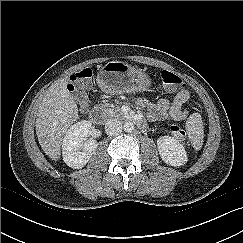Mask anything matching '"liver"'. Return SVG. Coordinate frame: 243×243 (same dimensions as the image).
I'll return each instance as SVG.
<instances>
[{
    "instance_id": "liver-1",
    "label": "liver",
    "mask_w": 243,
    "mask_h": 243,
    "mask_svg": "<svg viewBox=\"0 0 243 243\" xmlns=\"http://www.w3.org/2000/svg\"><path fill=\"white\" fill-rule=\"evenodd\" d=\"M68 78L51 85L36 118V135L44 153L54 161L61 155L62 136L78 119V107L68 89Z\"/></svg>"
}]
</instances>
